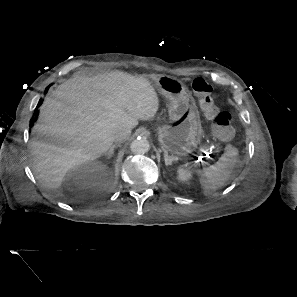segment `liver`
Here are the masks:
<instances>
[{
	"label": "liver",
	"mask_w": 297,
	"mask_h": 297,
	"mask_svg": "<svg viewBox=\"0 0 297 297\" xmlns=\"http://www.w3.org/2000/svg\"><path fill=\"white\" fill-rule=\"evenodd\" d=\"M53 95L40 108L30 145L37 178L56 192L72 168L107 152L117 129L136 127L159 107L147 79L118 70L74 77Z\"/></svg>",
	"instance_id": "obj_1"
}]
</instances>
